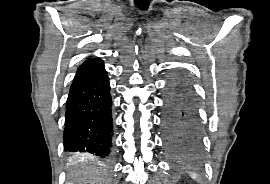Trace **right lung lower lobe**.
Instances as JSON below:
<instances>
[{
	"mask_svg": "<svg viewBox=\"0 0 270 184\" xmlns=\"http://www.w3.org/2000/svg\"><path fill=\"white\" fill-rule=\"evenodd\" d=\"M110 85L101 59L83 62L66 102L64 150L107 158L113 123Z\"/></svg>",
	"mask_w": 270,
	"mask_h": 184,
	"instance_id": "obj_1",
	"label": "right lung lower lobe"
}]
</instances>
